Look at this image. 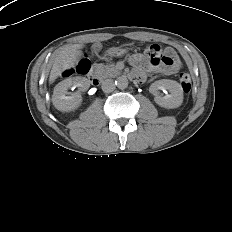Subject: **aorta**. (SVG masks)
<instances>
[{
	"mask_svg": "<svg viewBox=\"0 0 232 232\" xmlns=\"http://www.w3.org/2000/svg\"><path fill=\"white\" fill-rule=\"evenodd\" d=\"M115 84L119 89H125L128 87V79L126 76H120L115 81Z\"/></svg>",
	"mask_w": 232,
	"mask_h": 232,
	"instance_id": "aorta-1",
	"label": "aorta"
}]
</instances>
